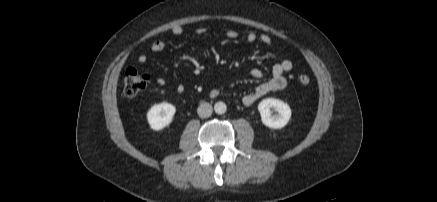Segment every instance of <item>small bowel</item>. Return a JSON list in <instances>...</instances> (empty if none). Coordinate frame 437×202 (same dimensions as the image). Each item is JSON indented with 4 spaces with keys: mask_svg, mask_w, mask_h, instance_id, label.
Instances as JSON below:
<instances>
[{
    "mask_svg": "<svg viewBox=\"0 0 437 202\" xmlns=\"http://www.w3.org/2000/svg\"><path fill=\"white\" fill-rule=\"evenodd\" d=\"M207 28L206 27H199L195 30V33L197 35H202L206 33ZM184 32L183 28L181 26H174L171 29V33L174 36H180ZM225 37L228 39H237L239 37V32L236 30H228L225 32ZM246 40L249 43H254L256 41L261 42L264 45H271L272 40L271 37L267 34H261L257 35L256 33H248L246 35ZM167 47V42L164 40H156L151 44V51L154 53H160L164 51ZM138 62L140 64H144L147 61V56L144 54H141L137 58ZM292 69V62L288 59H283L280 62L276 63L272 68V75L271 78L260 85H258L251 93L246 94L242 101L243 104L246 106H250L254 104L258 99L265 96L266 94L273 92V91H280L283 90L287 86V79L285 77V74L289 72ZM251 75L254 78H260L262 76V71L260 69H253L251 71ZM157 83L160 86H164L166 84V80L162 77H159L157 79ZM176 91L178 93H182L184 91V86L182 84H178L176 86Z\"/></svg>",
    "mask_w": 437,
    "mask_h": 202,
    "instance_id": "c3829d8e",
    "label": "small bowel"
}]
</instances>
